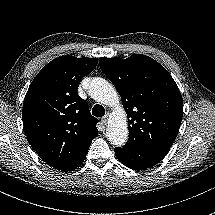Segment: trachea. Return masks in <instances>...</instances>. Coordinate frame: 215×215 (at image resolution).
Wrapping results in <instances>:
<instances>
[{
	"label": "trachea",
	"mask_w": 215,
	"mask_h": 215,
	"mask_svg": "<svg viewBox=\"0 0 215 215\" xmlns=\"http://www.w3.org/2000/svg\"><path fill=\"white\" fill-rule=\"evenodd\" d=\"M92 114L96 117H102L105 114V109L102 105L96 104L92 108Z\"/></svg>",
	"instance_id": "1"
}]
</instances>
